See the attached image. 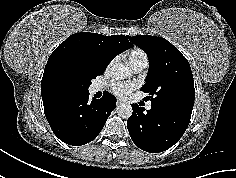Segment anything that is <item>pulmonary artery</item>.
Returning <instances> with one entry per match:
<instances>
[{"label":"pulmonary artery","instance_id":"obj_1","mask_svg":"<svg viewBox=\"0 0 236 178\" xmlns=\"http://www.w3.org/2000/svg\"><path fill=\"white\" fill-rule=\"evenodd\" d=\"M146 67H147V63H140V64L133 67V71L136 72V73H139V72L144 71L146 69ZM92 90L93 91H98V90H100V87L99 86H94L92 88ZM150 108H151V104L148 103L147 104V109H150Z\"/></svg>","mask_w":236,"mask_h":178}]
</instances>
